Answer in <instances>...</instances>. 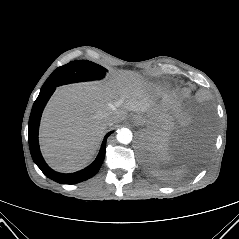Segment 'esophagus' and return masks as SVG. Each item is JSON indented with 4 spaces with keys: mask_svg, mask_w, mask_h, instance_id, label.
<instances>
[{
    "mask_svg": "<svg viewBox=\"0 0 239 239\" xmlns=\"http://www.w3.org/2000/svg\"><path fill=\"white\" fill-rule=\"evenodd\" d=\"M135 118L138 120V119H140V116L139 115H135Z\"/></svg>",
    "mask_w": 239,
    "mask_h": 239,
    "instance_id": "esophagus-1",
    "label": "esophagus"
}]
</instances>
